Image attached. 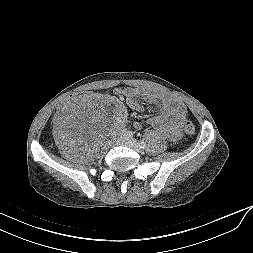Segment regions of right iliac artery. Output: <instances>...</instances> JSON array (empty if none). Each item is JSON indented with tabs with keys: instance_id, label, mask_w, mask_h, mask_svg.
Listing matches in <instances>:
<instances>
[{
	"instance_id": "obj_1",
	"label": "right iliac artery",
	"mask_w": 253,
	"mask_h": 253,
	"mask_svg": "<svg viewBox=\"0 0 253 253\" xmlns=\"http://www.w3.org/2000/svg\"><path fill=\"white\" fill-rule=\"evenodd\" d=\"M125 135H126L127 137H133L132 131H126V132H125Z\"/></svg>"
}]
</instances>
